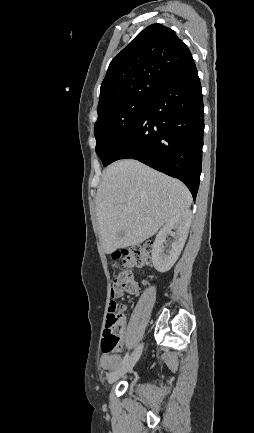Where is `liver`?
<instances>
[{"instance_id": "obj_1", "label": "liver", "mask_w": 254, "mask_h": 433, "mask_svg": "<svg viewBox=\"0 0 254 433\" xmlns=\"http://www.w3.org/2000/svg\"><path fill=\"white\" fill-rule=\"evenodd\" d=\"M191 202L189 190L177 179L133 159L112 163L103 172L96 197L105 253L142 243Z\"/></svg>"}]
</instances>
